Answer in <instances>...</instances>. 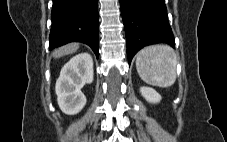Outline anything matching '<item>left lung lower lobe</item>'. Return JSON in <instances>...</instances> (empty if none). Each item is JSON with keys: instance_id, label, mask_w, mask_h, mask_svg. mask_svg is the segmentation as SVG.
<instances>
[{"instance_id": "0a47b994", "label": "left lung lower lobe", "mask_w": 227, "mask_h": 142, "mask_svg": "<svg viewBox=\"0 0 227 142\" xmlns=\"http://www.w3.org/2000/svg\"><path fill=\"white\" fill-rule=\"evenodd\" d=\"M129 65L144 46L168 43L175 46L164 0H120Z\"/></svg>"}]
</instances>
